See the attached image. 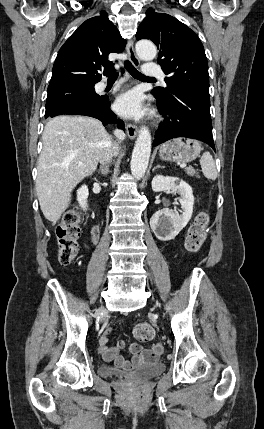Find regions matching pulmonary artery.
Returning a JSON list of instances; mask_svg holds the SVG:
<instances>
[{
  "label": "pulmonary artery",
  "mask_w": 264,
  "mask_h": 429,
  "mask_svg": "<svg viewBox=\"0 0 264 429\" xmlns=\"http://www.w3.org/2000/svg\"><path fill=\"white\" fill-rule=\"evenodd\" d=\"M144 74L147 76V77H150V78H160L161 80H164V77H165V75H164V73H163V71H162V69H161V67L160 66H158L157 64H155V63H147L145 66H144ZM106 87V84L105 83H101L100 84V88H105Z\"/></svg>",
  "instance_id": "obj_1"
}]
</instances>
